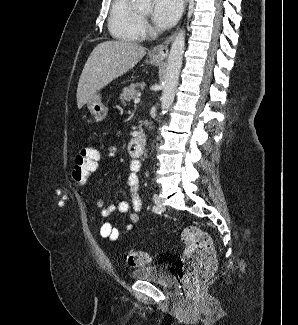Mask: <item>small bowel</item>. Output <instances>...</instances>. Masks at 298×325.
I'll return each instance as SVG.
<instances>
[{"instance_id":"1","label":"small bowel","mask_w":298,"mask_h":325,"mask_svg":"<svg viewBox=\"0 0 298 325\" xmlns=\"http://www.w3.org/2000/svg\"><path fill=\"white\" fill-rule=\"evenodd\" d=\"M106 156L113 159L117 156V148L110 145L106 148ZM139 160L132 159L129 164L130 174L128 177V185L131 192V202L120 201L106 205L105 199L102 196H96L95 205L101 209L103 218L109 217L114 212L128 213V221L123 230H119L110 223H104L100 228V236L109 241H116L121 235L128 234L134 230L140 219L142 209V200L139 196V180L138 172L140 171Z\"/></svg>"}]
</instances>
